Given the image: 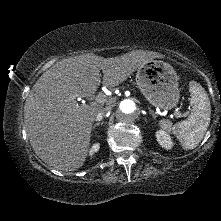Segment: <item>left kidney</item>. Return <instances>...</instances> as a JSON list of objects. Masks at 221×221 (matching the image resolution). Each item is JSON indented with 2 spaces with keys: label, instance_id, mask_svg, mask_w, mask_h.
I'll list each match as a JSON object with an SVG mask.
<instances>
[{
  "label": "left kidney",
  "instance_id": "obj_1",
  "mask_svg": "<svg viewBox=\"0 0 221 221\" xmlns=\"http://www.w3.org/2000/svg\"><path fill=\"white\" fill-rule=\"evenodd\" d=\"M156 139L158 143L166 149H171L173 146V141L170 135L164 130H159L156 132Z\"/></svg>",
  "mask_w": 221,
  "mask_h": 221
}]
</instances>
